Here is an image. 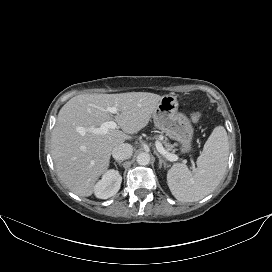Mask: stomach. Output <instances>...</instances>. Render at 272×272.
Masks as SVG:
<instances>
[{
    "label": "stomach",
    "instance_id": "1",
    "mask_svg": "<svg viewBox=\"0 0 272 272\" xmlns=\"http://www.w3.org/2000/svg\"><path fill=\"white\" fill-rule=\"evenodd\" d=\"M153 121L159 130L181 144V151L192 150L193 127L183 113L178 112V101L174 95H164L153 112Z\"/></svg>",
    "mask_w": 272,
    "mask_h": 272
}]
</instances>
